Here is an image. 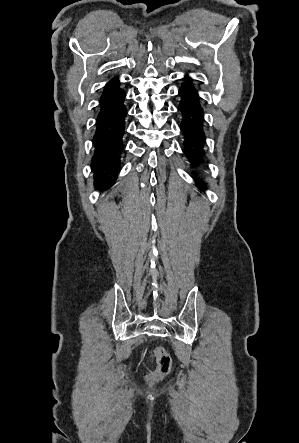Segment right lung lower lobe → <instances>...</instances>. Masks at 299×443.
Here are the masks:
<instances>
[{
  "label": "right lung lower lobe",
  "instance_id": "98d812e1",
  "mask_svg": "<svg viewBox=\"0 0 299 443\" xmlns=\"http://www.w3.org/2000/svg\"><path fill=\"white\" fill-rule=\"evenodd\" d=\"M124 99L125 93L115 77L106 84L103 91L94 136L95 154L92 170L94 185L99 190L110 189L116 180L119 154L123 149L124 118L127 114L123 105Z\"/></svg>",
  "mask_w": 299,
  "mask_h": 443
}]
</instances>
